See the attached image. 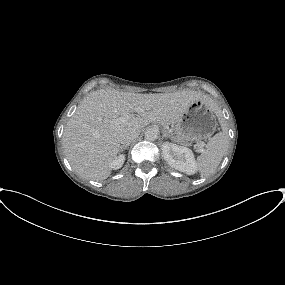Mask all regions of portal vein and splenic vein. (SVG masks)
<instances>
[{
  "label": "portal vein and splenic vein",
  "mask_w": 285,
  "mask_h": 285,
  "mask_svg": "<svg viewBox=\"0 0 285 285\" xmlns=\"http://www.w3.org/2000/svg\"><path fill=\"white\" fill-rule=\"evenodd\" d=\"M142 112H143V110H140V111H139V113H142ZM121 120L123 121L124 119L121 118ZM204 146H205V143H204V142H201V143L198 145V147H199V150H198V151H202Z\"/></svg>",
  "instance_id": "obj_1"
}]
</instances>
